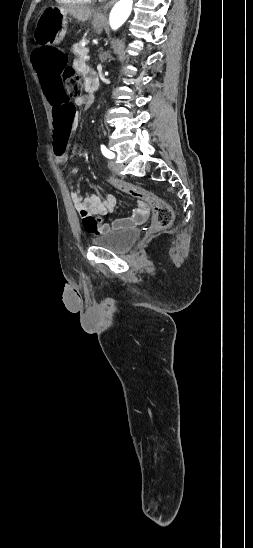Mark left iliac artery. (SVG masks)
<instances>
[{"label":"left iliac artery","mask_w":253,"mask_h":548,"mask_svg":"<svg viewBox=\"0 0 253 548\" xmlns=\"http://www.w3.org/2000/svg\"><path fill=\"white\" fill-rule=\"evenodd\" d=\"M101 151L103 155L109 159H112L115 157L114 153L108 150L104 145H101Z\"/></svg>","instance_id":"44dca946"}]
</instances>
